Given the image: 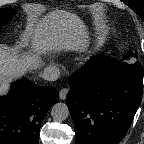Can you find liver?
Here are the masks:
<instances>
[{"instance_id":"obj_1","label":"liver","mask_w":144,"mask_h":144,"mask_svg":"<svg viewBox=\"0 0 144 144\" xmlns=\"http://www.w3.org/2000/svg\"><path fill=\"white\" fill-rule=\"evenodd\" d=\"M87 38L83 21L71 12L54 10L41 19L31 15L21 41L26 46L31 45L33 52L20 54L17 47L0 45V95L7 93V82L40 66L39 53L85 51L88 47Z\"/></svg>"}]
</instances>
